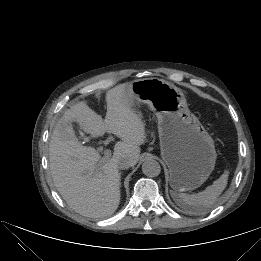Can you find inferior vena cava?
Instances as JSON below:
<instances>
[{
  "instance_id": "obj_1",
  "label": "inferior vena cava",
  "mask_w": 261,
  "mask_h": 261,
  "mask_svg": "<svg viewBox=\"0 0 261 261\" xmlns=\"http://www.w3.org/2000/svg\"><path fill=\"white\" fill-rule=\"evenodd\" d=\"M131 166H132V162L128 158L123 157L118 161V168L119 169L125 170V169H128Z\"/></svg>"
}]
</instances>
